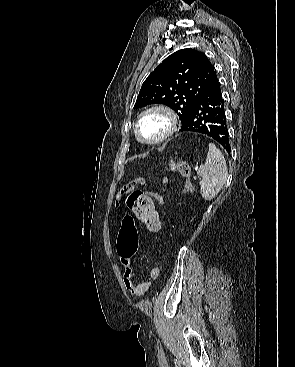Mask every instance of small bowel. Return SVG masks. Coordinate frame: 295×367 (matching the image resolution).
Segmentation results:
<instances>
[{"label": "small bowel", "instance_id": "c3829d8e", "mask_svg": "<svg viewBox=\"0 0 295 367\" xmlns=\"http://www.w3.org/2000/svg\"><path fill=\"white\" fill-rule=\"evenodd\" d=\"M153 196H140L134 213L144 225V227L150 232L157 233L160 230L161 223L159 212L156 207V201ZM136 248L131 253H124L121 250L120 243L118 240L117 252L120 258V263L123 267V281L125 288L134 296L142 297L146 295L151 289L152 285L150 282L135 283L132 280L133 268H132V256L135 253ZM160 275V267L155 265L150 270V276L153 279H157Z\"/></svg>", "mask_w": 295, "mask_h": 367}]
</instances>
